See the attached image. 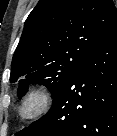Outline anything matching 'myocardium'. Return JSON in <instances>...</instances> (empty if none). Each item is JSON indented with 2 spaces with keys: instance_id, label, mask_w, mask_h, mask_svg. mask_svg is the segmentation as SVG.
<instances>
[{
  "instance_id": "myocardium-1",
  "label": "myocardium",
  "mask_w": 117,
  "mask_h": 136,
  "mask_svg": "<svg viewBox=\"0 0 117 136\" xmlns=\"http://www.w3.org/2000/svg\"><path fill=\"white\" fill-rule=\"evenodd\" d=\"M53 95L45 87L29 90L22 98L19 106V116L25 121L38 119L44 116L52 107Z\"/></svg>"
}]
</instances>
